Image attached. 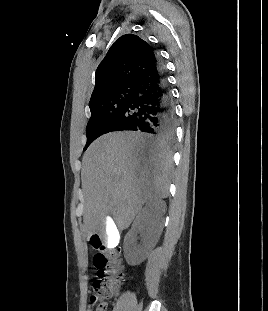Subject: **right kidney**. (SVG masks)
I'll list each match as a JSON object with an SVG mask.
<instances>
[{
  "label": "right kidney",
  "instance_id": "ca27d5eb",
  "mask_svg": "<svg viewBox=\"0 0 268 311\" xmlns=\"http://www.w3.org/2000/svg\"><path fill=\"white\" fill-rule=\"evenodd\" d=\"M165 210V201L154 198L136 216L123 245L124 257L129 265L142 263L155 247L163 230Z\"/></svg>",
  "mask_w": 268,
  "mask_h": 311
}]
</instances>
